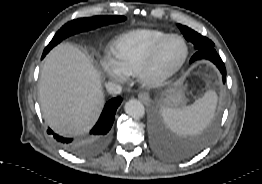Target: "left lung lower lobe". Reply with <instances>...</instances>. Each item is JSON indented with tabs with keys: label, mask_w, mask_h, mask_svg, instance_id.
<instances>
[{
	"label": "left lung lower lobe",
	"mask_w": 262,
	"mask_h": 184,
	"mask_svg": "<svg viewBox=\"0 0 262 184\" xmlns=\"http://www.w3.org/2000/svg\"><path fill=\"white\" fill-rule=\"evenodd\" d=\"M200 59L212 61L221 72L223 83L225 84L226 68L214 47L197 50L190 62ZM169 128L160 112L153 111L151 113L148 123L151 146L158 155L168 160L191 158L203 151L210 142V136L208 134L184 138L176 136Z\"/></svg>",
	"instance_id": "1"
}]
</instances>
